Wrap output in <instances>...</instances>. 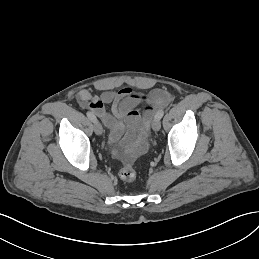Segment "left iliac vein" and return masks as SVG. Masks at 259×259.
<instances>
[{"label": "left iliac vein", "mask_w": 259, "mask_h": 259, "mask_svg": "<svg viewBox=\"0 0 259 259\" xmlns=\"http://www.w3.org/2000/svg\"><path fill=\"white\" fill-rule=\"evenodd\" d=\"M152 128L154 131H158L160 130L161 128V122H160V119H154L153 122H152Z\"/></svg>", "instance_id": "obj_1"}]
</instances>
